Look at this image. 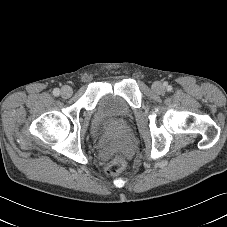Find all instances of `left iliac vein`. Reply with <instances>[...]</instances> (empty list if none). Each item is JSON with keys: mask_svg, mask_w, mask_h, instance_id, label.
Masks as SVG:
<instances>
[{"mask_svg": "<svg viewBox=\"0 0 227 227\" xmlns=\"http://www.w3.org/2000/svg\"><path fill=\"white\" fill-rule=\"evenodd\" d=\"M152 89H153L154 92H156L158 94H162L164 92V90H165L163 85L160 82H155L152 85Z\"/></svg>", "mask_w": 227, "mask_h": 227, "instance_id": "left-iliac-vein-1", "label": "left iliac vein"}]
</instances>
